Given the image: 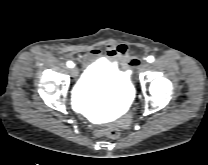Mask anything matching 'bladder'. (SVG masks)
Listing matches in <instances>:
<instances>
[{
	"label": "bladder",
	"instance_id": "bladder-1",
	"mask_svg": "<svg viewBox=\"0 0 208 165\" xmlns=\"http://www.w3.org/2000/svg\"><path fill=\"white\" fill-rule=\"evenodd\" d=\"M134 87L128 73L100 59L92 63L76 84L74 98L82 107L127 103Z\"/></svg>",
	"mask_w": 208,
	"mask_h": 165
}]
</instances>
